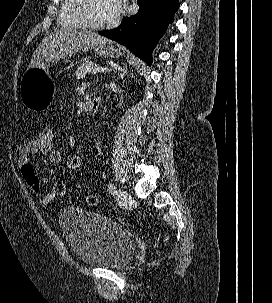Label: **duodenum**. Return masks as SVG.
Here are the masks:
<instances>
[{"label":"duodenum","mask_w":272,"mask_h":303,"mask_svg":"<svg viewBox=\"0 0 272 303\" xmlns=\"http://www.w3.org/2000/svg\"><path fill=\"white\" fill-rule=\"evenodd\" d=\"M101 102H102V98L100 96L94 97L90 101V103L87 107L88 111H90V112L97 111L101 106Z\"/></svg>","instance_id":"obj_1"}]
</instances>
